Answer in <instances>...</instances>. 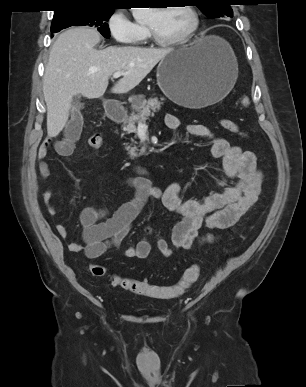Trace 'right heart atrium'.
I'll return each mask as SVG.
<instances>
[{"instance_id":"obj_1","label":"right heart atrium","mask_w":306,"mask_h":387,"mask_svg":"<svg viewBox=\"0 0 306 387\" xmlns=\"http://www.w3.org/2000/svg\"><path fill=\"white\" fill-rule=\"evenodd\" d=\"M112 38L119 44L129 45L141 41L144 31L123 9L115 10L107 20Z\"/></svg>"}]
</instances>
